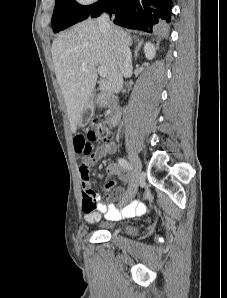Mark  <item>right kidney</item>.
Returning <instances> with one entry per match:
<instances>
[{
  "label": "right kidney",
  "instance_id": "obj_1",
  "mask_svg": "<svg viewBox=\"0 0 227 298\" xmlns=\"http://www.w3.org/2000/svg\"><path fill=\"white\" fill-rule=\"evenodd\" d=\"M144 53L147 59L152 60L155 57L156 49L151 42H147L144 46Z\"/></svg>",
  "mask_w": 227,
  "mask_h": 298
}]
</instances>
